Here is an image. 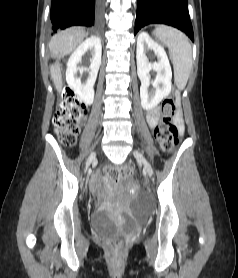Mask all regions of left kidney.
<instances>
[{
  "instance_id": "1",
  "label": "left kidney",
  "mask_w": 238,
  "mask_h": 278,
  "mask_svg": "<svg viewBox=\"0 0 238 278\" xmlns=\"http://www.w3.org/2000/svg\"><path fill=\"white\" fill-rule=\"evenodd\" d=\"M147 53H153L157 57L156 62H149ZM137 73L141 81L140 98L145 110L155 108L161 100L171 92L172 71L167 54L163 47L155 43L147 33H141L137 38L136 49ZM157 72L152 82L153 92H148L151 84L149 72Z\"/></svg>"
}]
</instances>
